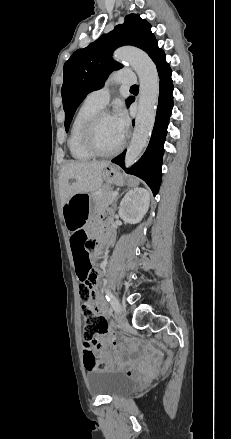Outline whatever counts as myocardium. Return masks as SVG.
I'll list each match as a JSON object with an SVG mask.
<instances>
[{"label":"myocardium","instance_id":"obj_1","mask_svg":"<svg viewBox=\"0 0 231 439\" xmlns=\"http://www.w3.org/2000/svg\"><path fill=\"white\" fill-rule=\"evenodd\" d=\"M105 116H111L110 112L100 109L88 119L82 131V142L85 148L93 156L97 157H112L118 154L124 147V141H121L116 148L110 151H103L98 147L95 140V132L99 121Z\"/></svg>","mask_w":231,"mask_h":439}]
</instances>
